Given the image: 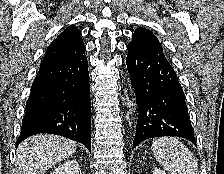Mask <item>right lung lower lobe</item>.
<instances>
[{
  "mask_svg": "<svg viewBox=\"0 0 224 174\" xmlns=\"http://www.w3.org/2000/svg\"><path fill=\"white\" fill-rule=\"evenodd\" d=\"M90 87L85 54L42 65L26 102L20 136L49 133L80 142L91 152Z\"/></svg>",
  "mask_w": 224,
  "mask_h": 174,
  "instance_id": "right-lung-lower-lobe-1",
  "label": "right lung lower lobe"
}]
</instances>
